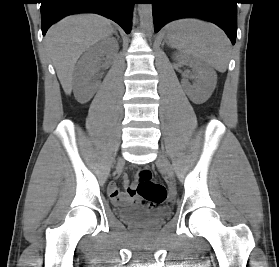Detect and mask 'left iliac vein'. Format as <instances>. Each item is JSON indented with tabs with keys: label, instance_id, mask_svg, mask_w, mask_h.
<instances>
[{
	"label": "left iliac vein",
	"instance_id": "obj_1",
	"mask_svg": "<svg viewBox=\"0 0 279 267\" xmlns=\"http://www.w3.org/2000/svg\"><path fill=\"white\" fill-rule=\"evenodd\" d=\"M157 162L162 167V170L165 173L166 177L169 180H172L173 176H174L173 170H172L170 162L168 161V159L166 158V156L163 153L159 154Z\"/></svg>",
	"mask_w": 279,
	"mask_h": 267
}]
</instances>
